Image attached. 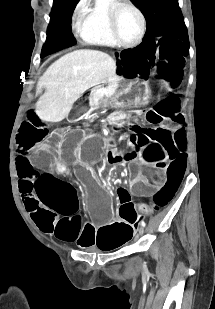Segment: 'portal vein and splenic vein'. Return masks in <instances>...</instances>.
<instances>
[{"mask_svg":"<svg viewBox=\"0 0 215 309\" xmlns=\"http://www.w3.org/2000/svg\"><path fill=\"white\" fill-rule=\"evenodd\" d=\"M104 92H113V88H110V90L107 88V90H104Z\"/></svg>","mask_w":215,"mask_h":309,"instance_id":"portal-vein-and-splenic-vein-1","label":"portal vein and splenic vein"}]
</instances>
